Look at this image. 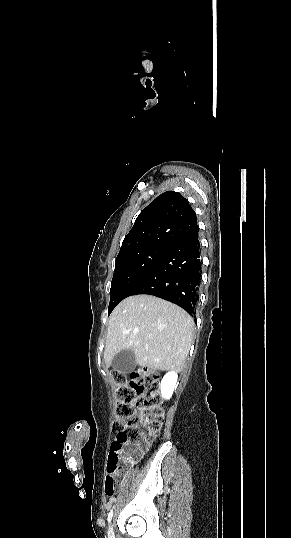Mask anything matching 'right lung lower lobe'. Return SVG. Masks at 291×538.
<instances>
[{
	"label": "right lung lower lobe",
	"instance_id": "obj_1",
	"mask_svg": "<svg viewBox=\"0 0 291 538\" xmlns=\"http://www.w3.org/2000/svg\"><path fill=\"white\" fill-rule=\"evenodd\" d=\"M200 250L198 233L171 247L136 285L130 296L154 295L194 315L201 283Z\"/></svg>",
	"mask_w": 291,
	"mask_h": 538
}]
</instances>
